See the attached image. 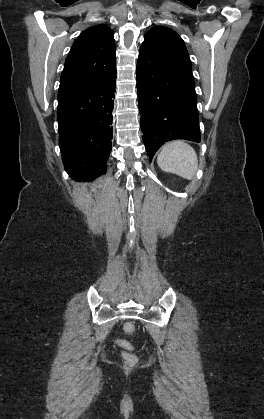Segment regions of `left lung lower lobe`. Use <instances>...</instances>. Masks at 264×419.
<instances>
[{"label": "left lung lower lobe", "mask_w": 264, "mask_h": 419, "mask_svg": "<svg viewBox=\"0 0 264 419\" xmlns=\"http://www.w3.org/2000/svg\"><path fill=\"white\" fill-rule=\"evenodd\" d=\"M136 75L140 124L150 161L167 141L200 142L193 75L169 38L144 39Z\"/></svg>", "instance_id": "left-lung-lower-lobe-1"}]
</instances>
